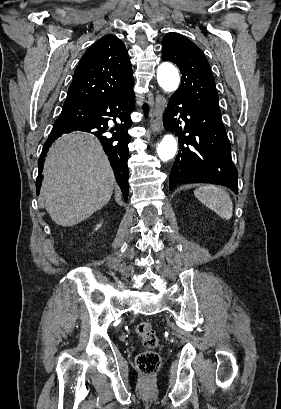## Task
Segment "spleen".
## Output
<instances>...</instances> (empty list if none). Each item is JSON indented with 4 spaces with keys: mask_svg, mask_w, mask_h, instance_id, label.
Listing matches in <instances>:
<instances>
[{
    "mask_svg": "<svg viewBox=\"0 0 281 409\" xmlns=\"http://www.w3.org/2000/svg\"><path fill=\"white\" fill-rule=\"evenodd\" d=\"M194 194L203 205L208 209L217 213L221 219H231L232 217V200L223 188L215 186V184H206V186H199L194 190Z\"/></svg>",
    "mask_w": 281,
    "mask_h": 409,
    "instance_id": "spleen-1",
    "label": "spleen"
}]
</instances>
